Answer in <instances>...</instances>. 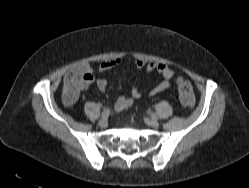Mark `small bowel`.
Here are the masks:
<instances>
[{"mask_svg": "<svg viewBox=\"0 0 249 188\" xmlns=\"http://www.w3.org/2000/svg\"><path fill=\"white\" fill-rule=\"evenodd\" d=\"M121 62L120 59L107 60L102 62L99 65V71L105 72L108 71ZM135 65L137 68L142 69L146 68L148 72H157L163 78L158 84H156L150 91L149 95L153 96L158 93H161L165 90L171 88L170 80L178 75L176 71L171 69L168 65L163 63L149 62L145 63L143 60H136ZM72 70L76 71V75L72 77L70 72L64 78V102L67 105H72L79 95V93L85 89H87L94 81L96 86L100 91H105L108 82L104 78L94 79L92 75V69L87 63H81L76 65ZM142 97V92L139 88L134 85L131 89L130 96H121L119 97L115 103L114 108L117 111H123L128 109L133 105V103Z\"/></svg>", "mask_w": 249, "mask_h": 188, "instance_id": "obj_1", "label": "small bowel"}]
</instances>
